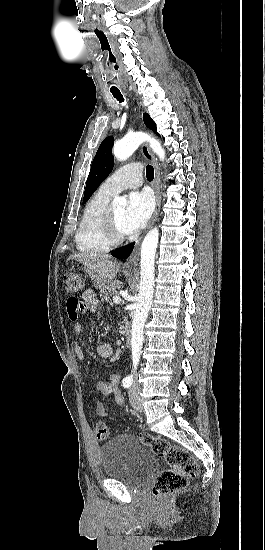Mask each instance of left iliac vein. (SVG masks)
<instances>
[{
  "instance_id": "left-iliac-vein-1",
  "label": "left iliac vein",
  "mask_w": 265,
  "mask_h": 550,
  "mask_svg": "<svg viewBox=\"0 0 265 550\" xmlns=\"http://www.w3.org/2000/svg\"><path fill=\"white\" fill-rule=\"evenodd\" d=\"M129 400H130L131 406L135 410H137L139 412L143 411V407H142L141 402L139 400V395L133 388H130V390H129Z\"/></svg>"
}]
</instances>
